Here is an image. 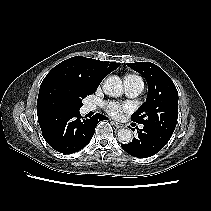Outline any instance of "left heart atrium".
Segmentation results:
<instances>
[{
	"instance_id": "left-heart-atrium-1",
	"label": "left heart atrium",
	"mask_w": 211,
	"mask_h": 211,
	"mask_svg": "<svg viewBox=\"0 0 211 211\" xmlns=\"http://www.w3.org/2000/svg\"><path fill=\"white\" fill-rule=\"evenodd\" d=\"M105 109L110 115L118 117L122 112L130 110V106L128 104L110 101L105 104Z\"/></svg>"
}]
</instances>
